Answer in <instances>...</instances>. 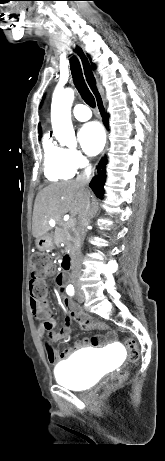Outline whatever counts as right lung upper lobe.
<instances>
[{"mask_svg":"<svg viewBox=\"0 0 165 461\" xmlns=\"http://www.w3.org/2000/svg\"><path fill=\"white\" fill-rule=\"evenodd\" d=\"M92 65L94 66V64L92 63ZM39 133L41 134V129H40V125H39Z\"/></svg>","mask_w":165,"mask_h":461,"instance_id":"right-lung-upper-lobe-1","label":"right lung upper lobe"}]
</instances>
